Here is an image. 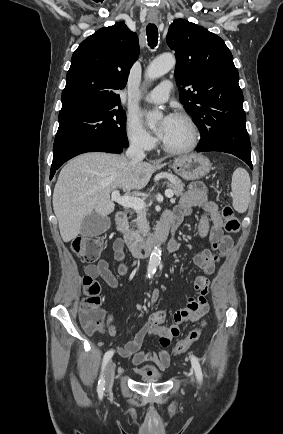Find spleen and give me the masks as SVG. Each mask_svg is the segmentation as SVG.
Wrapping results in <instances>:
<instances>
[{"instance_id":"3e777b00","label":"spleen","mask_w":283,"mask_h":434,"mask_svg":"<svg viewBox=\"0 0 283 434\" xmlns=\"http://www.w3.org/2000/svg\"><path fill=\"white\" fill-rule=\"evenodd\" d=\"M250 177L243 168H237L232 175L233 207L239 213H244L250 200Z\"/></svg>"}]
</instances>
